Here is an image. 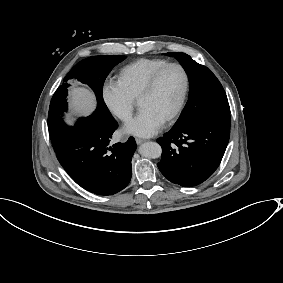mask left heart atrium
I'll use <instances>...</instances> for the list:
<instances>
[{
    "label": "left heart atrium",
    "instance_id": "left-heart-atrium-1",
    "mask_svg": "<svg viewBox=\"0 0 283 283\" xmlns=\"http://www.w3.org/2000/svg\"><path fill=\"white\" fill-rule=\"evenodd\" d=\"M164 119L147 108H140L136 117L122 129V133L140 137L154 135L163 125Z\"/></svg>",
    "mask_w": 283,
    "mask_h": 283
}]
</instances>
